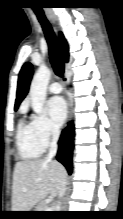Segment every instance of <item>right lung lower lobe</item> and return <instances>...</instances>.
I'll return each mask as SVG.
<instances>
[{
    "label": "right lung lower lobe",
    "instance_id": "1",
    "mask_svg": "<svg viewBox=\"0 0 123 219\" xmlns=\"http://www.w3.org/2000/svg\"><path fill=\"white\" fill-rule=\"evenodd\" d=\"M74 139V126L70 122L68 127L62 131L58 145L57 160L61 162L67 169L68 173H72V151Z\"/></svg>",
    "mask_w": 123,
    "mask_h": 219
}]
</instances>
